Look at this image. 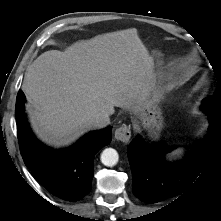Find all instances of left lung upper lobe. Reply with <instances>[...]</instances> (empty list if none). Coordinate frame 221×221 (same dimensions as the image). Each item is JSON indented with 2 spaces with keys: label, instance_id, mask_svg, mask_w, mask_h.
<instances>
[{
  "label": "left lung upper lobe",
  "instance_id": "5c2ea615",
  "mask_svg": "<svg viewBox=\"0 0 221 221\" xmlns=\"http://www.w3.org/2000/svg\"><path fill=\"white\" fill-rule=\"evenodd\" d=\"M201 108L209 114L221 113V93L216 91L212 96L204 99Z\"/></svg>",
  "mask_w": 221,
  "mask_h": 221
}]
</instances>
